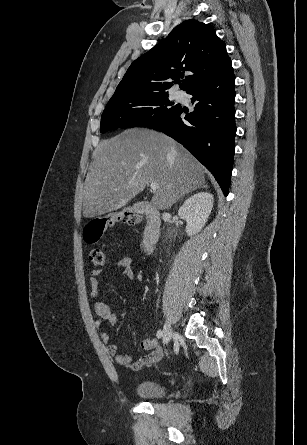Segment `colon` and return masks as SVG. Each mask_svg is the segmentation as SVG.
Wrapping results in <instances>:
<instances>
[{
  "instance_id": "1",
  "label": "colon",
  "mask_w": 307,
  "mask_h": 445,
  "mask_svg": "<svg viewBox=\"0 0 307 445\" xmlns=\"http://www.w3.org/2000/svg\"><path fill=\"white\" fill-rule=\"evenodd\" d=\"M140 221L139 215L130 211H120L94 218L87 223L83 230L84 241L90 245L97 243L102 238L106 228L115 222H124L131 227H135L139 225ZM90 260L96 269H101L108 263L106 252L99 248L90 252Z\"/></svg>"
}]
</instances>
